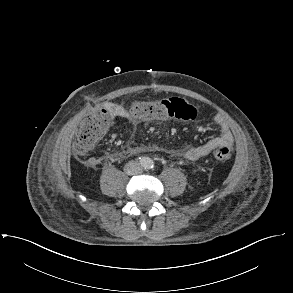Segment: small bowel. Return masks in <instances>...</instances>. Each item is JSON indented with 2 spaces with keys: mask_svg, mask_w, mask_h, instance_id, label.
Segmentation results:
<instances>
[{
  "mask_svg": "<svg viewBox=\"0 0 293 293\" xmlns=\"http://www.w3.org/2000/svg\"><path fill=\"white\" fill-rule=\"evenodd\" d=\"M104 108L109 111L112 117L118 119H126L132 123L138 121L133 118L130 112L121 105L115 103H107ZM216 124L219 126L220 134L218 137L205 142L202 145L189 148L183 152V156L190 161H198L208 155L216 144L231 146L233 144V135L230 127L222 119H216ZM91 165L97 164V158H90L88 161Z\"/></svg>",
  "mask_w": 293,
  "mask_h": 293,
  "instance_id": "1",
  "label": "small bowel"
}]
</instances>
